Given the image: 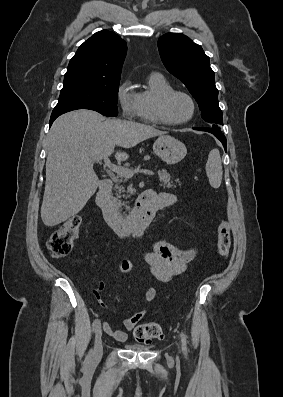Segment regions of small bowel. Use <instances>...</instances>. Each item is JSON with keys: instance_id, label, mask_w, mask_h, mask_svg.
Returning a JSON list of instances; mask_svg holds the SVG:
<instances>
[{"instance_id": "1", "label": "small bowel", "mask_w": 283, "mask_h": 397, "mask_svg": "<svg viewBox=\"0 0 283 397\" xmlns=\"http://www.w3.org/2000/svg\"><path fill=\"white\" fill-rule=\"evenodd\" d=\"M155 200L158 202L160 209L173 206L177 202L175 195L166 192L152 191ZM136 234V235H140ZM196 256L194 248H179L164 241H157L152 250L147 252L144 256L145 261L149 265L151 272L157 280L166 282L173 277L183 273L188 264ZM133 269V263L130 260H123L119 266L118 271L122 274L129 273ZM102 286L92 290V293L99 298ZM144 299L147 302H152L157 297V290L154 287H147L143 293ZM146 309H142L124 320V327L126 330H132L145 316ZM104 331L113 337L116 341H126L128 335L125 330L113 329L107 322L103 323Z\"/></svg>"}]
</instances>
